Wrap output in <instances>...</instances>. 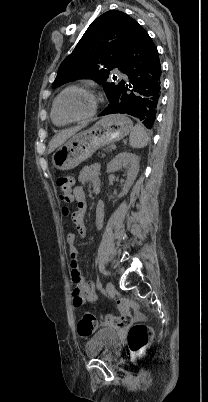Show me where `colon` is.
Segmentation results:
<instances>
[{
  "label": "colon",
  "instance_id": "5ec220e1",
  "mask_svg": "<svg viewBox=\"0 0 208 402\" xmlns=\"http://www.w3.org/2000/svg\"><path fill=\"white\" fill-rule=\"evenodd\" d=\"M75 178L71 176H59L56 179L60 200L69 204L73 200V190ZM64 215L70 214L67 208L63 209ZM120 308L119 315H106L102 321L104 324H112L117 327H128L129 346L132 352L141 350L147 343L149 338L153 337V327L151 324H134L131 310L134 306L129 297H120L118 299ZM98 326V318L92 313H85L79 320L77 329L82 338H88L96 330Z\"/></svg>",
  "mask_w": 208,
  "mask_h": 402
}]
</instances>
